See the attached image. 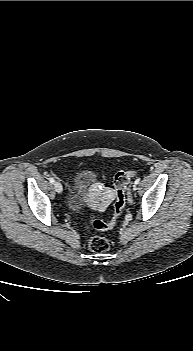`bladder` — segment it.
Listing matches in <instances>:
<instances>
[{"label":"bladder","instance_id":"31cf9c89","mask_svg":"<svg viewBox=\"0 0 193 351\" xmlns=\"http://www.w3.org/2000/svg\"><path fill=\"white\" fill-rule=\"evenodd\" d=\"M95 181L96 175L91 170H80L75 173L73 187L67 195V208L70 212L78 213L86 209L84 203L89 197L87 191Z\"/></svg>","mask_w":193,"mask_h":351}]
</instances>
